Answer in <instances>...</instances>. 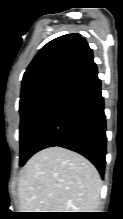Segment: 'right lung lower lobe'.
Returning a JSON list of instances; mask_svg holds the SVG:
<instances>
[{
	"label": "right lung lower lobe",
	"mask_w": 123,
	"mask_h": 219,
	"mask_svg": "<svg viewBox=\"0 0 123 219\" xmlns=\"http://www.w3.org/2000/svg\"><path fill=\"white\" fill-rule=\"evenodd\" d=\"M106 116L96 65L69 80L35 139L33 154L60 146L90 160L105 171Z\"/></svg>",
	"instance_id": "98d812e1"
}]
</instances>
